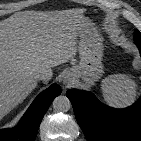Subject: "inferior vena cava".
<instances>
[{
    "mask_svg": "<svg viewBox=\"0 0 141 141\" xmlns=\"http://www.w3.org/2000/svg\"><path fill=\"white\" fill-rule=\"evenodd\" d=\"M34 78L36 80L47 82L51 79V74H49L47 71H38L34 74Z\"/></svg>",
    "mask_w": 141,
    "mask_h": 141,
    "instance_id": "inferior-vena-cava-1",
    "label": "inferior vena cava"
}]
</instances>
